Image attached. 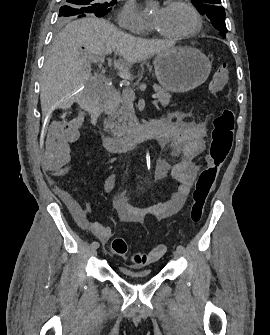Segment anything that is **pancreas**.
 Wrapping results in <instances>:
<instances>
[{
  "label": "pancreas",
  "mask_w": 270,
  "mask_h": 335,
  "mask_svg": "<svg viewBox=\"0 0 270 335\" xmlns=\"http://www.w3.org/2000/svg\"><path fill=\"white\" fill-rule=\"evenodd\" d=\"M153 90L156 92V98H158V102H160L163 108H166L168 104H170L171 94L158 86V84H154ZM130 124H136V116H134V112L132 110H119L117 122L114 124V128L112 130V134L120 138V136H125V134H129L131 128Z\"/></svg>",
  "instance_id": "pancreas-1"
}]
</instances>
